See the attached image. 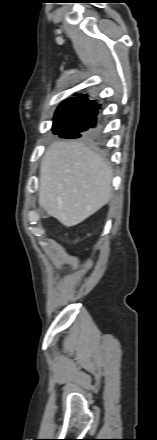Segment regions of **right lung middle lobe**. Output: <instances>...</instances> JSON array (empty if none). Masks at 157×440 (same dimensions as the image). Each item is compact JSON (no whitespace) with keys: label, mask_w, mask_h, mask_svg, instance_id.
Instances as JSON below:
<instances>
[{"label":"right lung middle lobe","mask_w":157,"mask_h":440,"mask_svg":"<svg viewBox=\"0 0 157 440\" xmlns=\"http://www.w3.org/2000/svg\"><path fill=\"white\" fill-rule=\"evenodd\" d=\"M53 132L62 138L92 137L89 127H83L78 121H54Z\"/></svg>","instance_id":"right-lung-middle-lobe-1"}]
</instances>
